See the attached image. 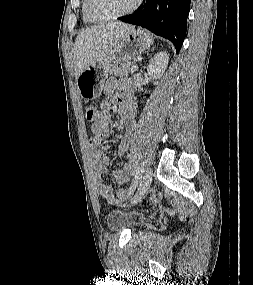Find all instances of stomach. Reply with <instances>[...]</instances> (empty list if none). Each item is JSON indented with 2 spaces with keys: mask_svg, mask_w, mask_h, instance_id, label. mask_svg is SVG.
Here are the masks:
<instances>
[{
  "mask_svg": "<svg viewBox=\"0 0 253 285\" xmlns=\"http://www.w3.org/2000/svg\"><path fill=\"white\" fill-rule=\"evenodd\" d=\"M153 44L152 35L144 29L128 31L102 58L85 69L76 79V86L85 101L98 98L110 68L140 56Z\"/></svg>",
  "mask_w": 253,
  "mask_h": 285,
  "instance_id": "stomach-1",
  "label": "stomach"
}]
</instances>
